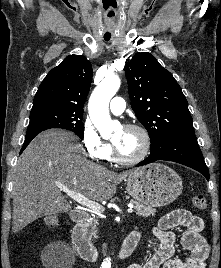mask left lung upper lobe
Masks as SVG:
<instances>
[{
    "label": "left lung upper lobe",
    "instance_id": "left-lung-upper-lobe-1",
    "mask_svg": "<svg viewBox=\"0 0 221 268\" xmlns=\"http://www.w3.org/2000/svg\"><path fill=\"white\" fill-rule=\"evenodd\" d=\"M131 107L147 129L151 149L172 136L194 133L188 102L172 74L148 52L125 65Z\"/></svg>",
    "mask_w": 221,
    "mask_h": 268
}]
</instances>
